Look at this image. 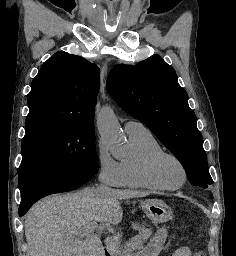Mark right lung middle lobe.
I'll list each match as a JSON object with an SVG mask.
<instances>
[{
  "mask_svg": "<svg viewBox=\"0 0 236 256\" xmlns=\"http://www.w3.org/2000/svg\"><path fill=\"white\" fill-rule=\"evenodd\" d=\"M98 172L94 124L56 120L25 122L19 188L69 172Z\"/></svg>",
  "mask_w": 236,
  "mask_h": 256,
  "instance_id": "right-lung-middle-lobe-1",
  "label": "right lung middle lobe"
}]
</instances>
